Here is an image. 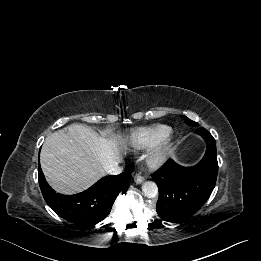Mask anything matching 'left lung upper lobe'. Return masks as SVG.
Returning <instances> with one entry per match:
<instances>
[{
	"label": "left lung upper lobe",
	"mask_w": 261,
	"mask_h": 261,
	"mask_svg": "<svg viewBox=\"0 0 261 261\" xmlns=\"http://www.w3.org/2000/svg\"><path fill=\"white\" fill-rule=\"evenodd\" d=\"M183 117L185 118V122H186L187 124H189V125H191V126H198V123H196V122L190 120L189 118H187V117H185V116H183Z\"/></svg>",
	"instance_id": "1"
}]
</instances>
